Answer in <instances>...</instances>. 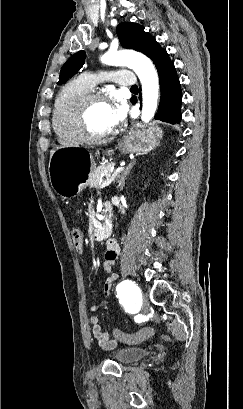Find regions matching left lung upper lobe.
<instances>
[{
    "label": "left lung upper lobe",
    "mask_w": 243,
    "mask_h": 409,
    "mask_svg": "<svg viewBox=\"0 0 243 409\" xmlns=\"http://www.w3.org/2000/svg\"><path fill=\"white\" fill-rule=\"evenodd\" d=\"M116 32L122 47L144 53L153 61L157 69L170 62L166 50L151 34L144 31L143 26L137 23L123 22L117 26ZM85 58V51H79L72 55L63 65L57 84H63L75 75L83 67Z\"/></svg>",
    "instance_id": "left-lung-upper-lobe-1"
}]
</instances>
